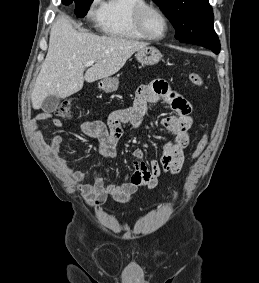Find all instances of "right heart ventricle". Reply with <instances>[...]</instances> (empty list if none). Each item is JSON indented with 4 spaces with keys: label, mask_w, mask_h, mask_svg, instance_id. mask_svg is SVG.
<instances>
[{
    "label": "right heart ventricle",
    "mask_w": 259,
    "mask_h": 283,
    "mask_svg": "<svg viewBox=\"0 0 259 283\" xmlns=\"http://www.w3.org/2000/svg\"><path fill=\"white\" fill-rule=\"evenodd\" d=\"M144 5L146 0H107L99 20L101 31L120 39H145L135 23V11Z\"/></svg>",
    "instance_id": "obj_1"
}]
</instances>
